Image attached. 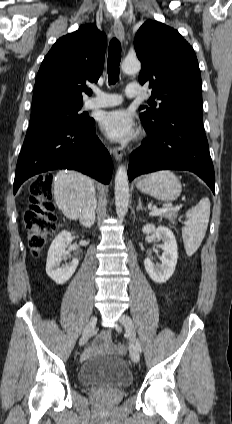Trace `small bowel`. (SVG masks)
Instances as JSON below:
<instances>
[{
    "instance_id": "c3829d8e",
    "label": "small bowel",
    "mask_w": 232,
    "mask_h": 424,
    "mask_svg": "<svg viewBox=\"0 0 232 424\" xmlns=\"http://www.w3.org/2000/svg\"><path fill=\"white\" fill-rule=\"evenodd\" d=\"M109 352L124 354L118 352L117 344L112 342L110 333L108 331H103L94 339L92 345L85 350L83 356L89 358Z\"/></svg>"
}]
</instances>
